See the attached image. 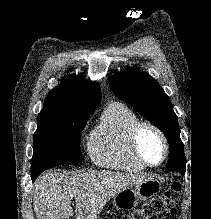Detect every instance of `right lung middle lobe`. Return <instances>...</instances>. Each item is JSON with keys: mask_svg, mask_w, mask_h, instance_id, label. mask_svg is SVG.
<instances>
[{"mask_svg": "<svg viewBox=\"0 0 211 219\" xmlns=\"http://www.w3.org/2000/svg\"><path fill=\"white\" fill-rule=\"evenodd\" d=\"M89 114L50 115L41 111L34 134L31 161L32 181L44 170L57 164L82 161L80 135Z\"/></svg>", "mask_w": 211, "mask_h": 219, "instance_id": "1", "label": "right lung middle lobe"}]
</instances>
